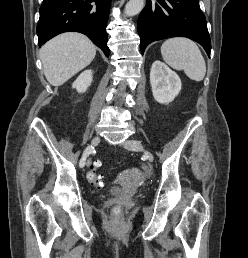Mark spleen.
<instances>
[{
	"mask_svg": "<svg viewBox=\"0 0 248 258\" xmlns=\"http://www.w3.org/2000/svg\"><path fill=\"white\" fill-rule=\"evenodd\" d=\"M164 61L176 70H184L193 81L200 82L206 74V63L197 44L184 37L167 39L161 46Z\"/></svg>",
	"mask_w": 248,
	"mask_h": 258,
	"instance_id": "spleen-1",
	"label": "spleen"
}]
</instances>
